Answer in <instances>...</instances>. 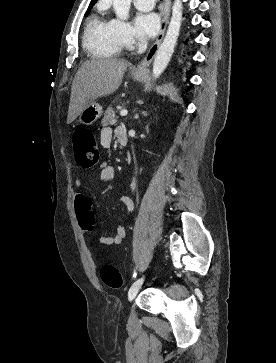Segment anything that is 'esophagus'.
Returning <instances> with one entry per match:
<instances>
[{
  "instance_id": "34e87169",
  "label": "esophagus",
  "mask_w": 276,
  "mask_h": 363,
  "mask_svg": "<svg viewBox=\"0 0 276 363\" xmlns=\"http://www.w3.org/2000/svg\"><path fill=\"white\" fill-rule=\"evenodd\" d=\"M170 4H171V0H163V3L161 5L162 20H161V27H160L159 35H158L155 43L148 50V52H147L146 56L144 57V59L142 60V62L135 69V73H137V74L146 73L148 67L150 66L151 62L153 61V58L164 37V32L166 29V25H167L169 13H170Z\"/></svg>"
}]
</instances>
